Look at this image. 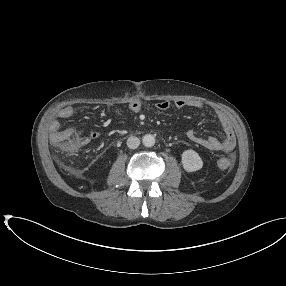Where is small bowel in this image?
Segmentation results:
<instances>
[{"label": "small bowel", "mask_w": 286, "mask_h": 286, "mask_svg": "<svg viewBox=\"0 0 286 286\" xmlns=\"http://www.w3.org/2000/svg\"><path fill=\"white\" fill-rule=\"evenodd\" d=\"M143 106V100L141 98L134 99L129 104V111L131 113H139ZM172 106V103L169 101H161L156 104V107L160 111H166ZM173 106L177 109H183L184 107H191L195 109H200L203 107V104L199 101H184V100H177L173 103ZM74 114V108L72 106H64L57 112V117L60 119H69ZM217 118L224 130L225 137L224 139L220 140L214 137H202L198 135V133L190 129L187 131L186 136L187 138L195 143L196 145L216 152L222 153H230L233 151L236 145V136L234 132V127L232 124L231 119L229 116L222 112H217ZM60 129V122L58 120H54L50 124V132L51 136ZM90 140H94L99 138V133L91 132L88 136Z\"/></svg>", "instance_id": "obj_1"}]
</instances>
